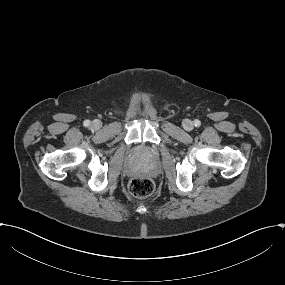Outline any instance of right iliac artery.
Masks as SVG:
<instances>
[{"mask_svg": "<svg viewBox=\"0 0 285 285\" xmlns=\"http://www.w3.org/2000/svg\"><path fill=\"white\" fill-rule=\"evenodd\" d=\"M83 124H84L85 127H88L90 125V121L89 120H85Z\"/></svg>", "mask_w": 285, "mask_h": 285, "instance_id": "1", "label": "right iliac artery"}]
</instances>
